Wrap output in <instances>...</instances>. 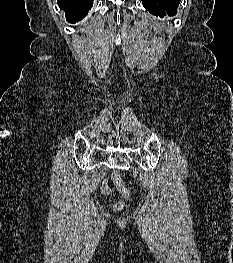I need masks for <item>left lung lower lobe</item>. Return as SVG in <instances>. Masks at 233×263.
Instances as JSON below:
<instances>
[{
	"label": "left lung lower lobe",
	"instance_id": "left-lung-lower-lobe-1",
	"mask_svg": "<svg viewBox=\"0 0 233 263\" xmlns=\"http://www.w3.org/2000/svg\"><path fill=\"white\" fill-rule=\"evenodd\" d=\"M144 7L154 16H174L180 0H142Z\"/></svg>",
	"mask_w": 233,
	"mask_h": 263
}]
</instances>
